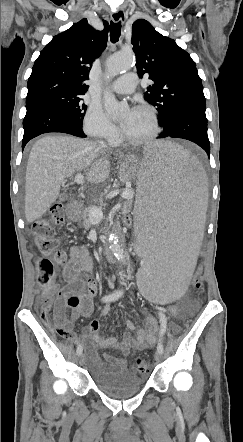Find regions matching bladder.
<instances>
[{"instance_id": "1", "label": "bladder", "mask_w": 243, "mask_h": 442, "mask_svg": "<svg viewBox=\"0 0 243 442\" xmlns=\"http://www.w3.org/2000/svg\"><path fill=\"white\" fill-rule=\"evenodd\" d=\"M90 377L95 386L114 399H127L137 394L144 380L126 367H118L110 360H98L90 367Z\"/></svg>"}]
</instances>
